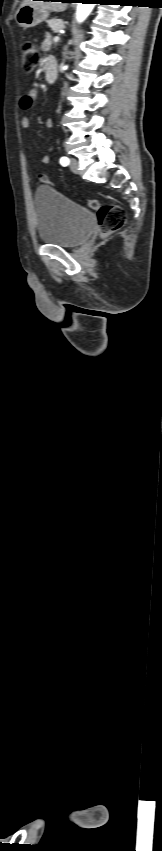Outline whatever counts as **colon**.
Wrapping results in <instances>:
<instances>
[{
	"label": "colon",
	"mask_w": 162,
	"mask_h": 851,
	"mask_svg": "<svg viewBox=\"0 0 162 851\" xmlns=\"http://www.w3.org/2000/svg\"><path fill=\"white\" fill-rule=\"evenodd\" d=\"M22 66L26 72H32L36 67L39 55L34 43L30 40L23 41L21 45ZM42 182H47L45 175L40 176ZM89 206L97 211L100 233L103 236L114 233L125 223L126 214L124 209L116 204H100L97 199H90Z\"/></svg>",
	"instance_id": "1"
}]
</instances>
